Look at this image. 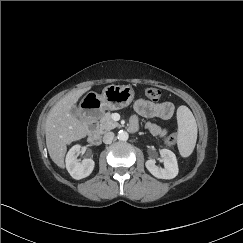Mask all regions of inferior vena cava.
<instances>
[{"label": "inferior vena cava", "instance_id": "inferior-vena-cava-1", "mask_svg": "<svg viewBox=\"0 0 243 243\" xmlns=\"http://www.w3.org/2000/svg\"><path fill=\"white\" fill-rule=\"evenodd\" d=\"M113 139H114V133L113 132H107L103 136V142L105 144H110Z\"/></svg>", "mask_w": 243, "mask_h": 243}]
</instances>
